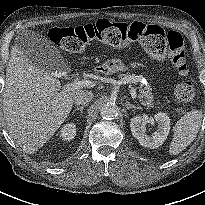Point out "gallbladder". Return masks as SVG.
<instances>
[{
	"instance_id": "obj_1",
	"label": "gallbladder",
	"mask_w": 205,
	"mask_h": 205,
	"mask_svg": "<svg viewBox=\"0 0 205 205\" xmlns=\"http://www.w3.org/2000/svg\"><path fill=\"white\" fill-rule=\"evenodd\" d=\"M16 45L28 60L41 70H67L63 67L64 60L58 49L39 33L22 30L16 36Z\"/></svg>"
}]
</instances>
